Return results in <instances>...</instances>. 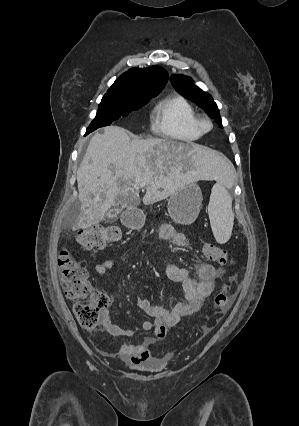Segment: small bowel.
Segmentation results:
<instances>
[{"instance_id":"1","label":"small bowel","mask_w":299,"mask_h":426,"mask_svg":"<svg viewBox=\"0 0 299 426\" xmlns=\"http://www.w3.org/2000/svg\"><path fill=\"white\" fill-rule=\"evenodd\" d=\"M159 237L162 240L173 242L178 247L188 245L185 235L177 232L170 225L160 227ZM114 266L111 259H104L95 264L94 269L99 275L108 277ZM166 274L170 280L182 284L185 300L177 303L172 309H168L153 305L146 298L136 297L139 308L152 318V320L144 321L142 328L146 331H154L156 338L147 336L136 343L121 346L116 355L129 365L133 366L154 359L152 346L156 340L166 336L168 327L175 326L182 318L192 315L200 309L203 301L213 292L215 281L222 272L212 264L198 262L195 266V276H192L186 268L174 264L167 265ZM100 324L106 332L113 336L132 337L135 334L134 330L115 324L108 308L101 311ZM102 353L109 355L105 352Z\"/></svg>"}]
</instances>
